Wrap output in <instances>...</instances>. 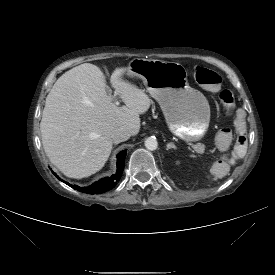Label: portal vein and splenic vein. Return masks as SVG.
Segmentation results:
<instances>
[{
	"label": "portal vein and splenic vein",
	"mask_w": 275,
	"mask_h": 275,
	"mask_svg": "<svg viewBox=\"0 0 275 275\" xmlns=\"http://www.w3.org/2000/svg\"><path fill=\"white\" fill-rule=\"evenodd\" d=\"M117 95V93L115 92V96ZM116 104L118 105V101H116ZM196 148V150H197V152L198 153H203L204 152V146L203 147H195Z\"/></svg>",
	"instance_id": "1"
}]
</instances>
